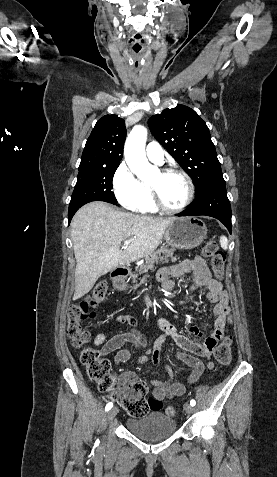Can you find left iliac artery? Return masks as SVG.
<instances>
[{
	"mask_svg": "<svg viewBox=\"0 0 277 477\" xmlns=\"http://www.w3.org/2000/svg\"><path fill=\"white\" fill-rule=\"evenodd\" d=\"M195 404H196L195 400L192 399V400L190 401V405H191V406H195Z\"/></svg>",
	"mask_w": 277,
	"mask_h": 477,
	"instance_id": "44dca946",
	"label": "left iliac artery"
}]
</instances>
